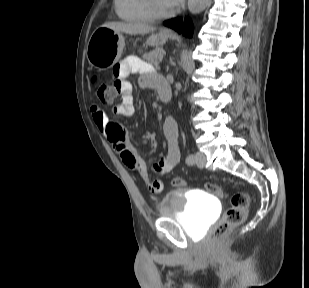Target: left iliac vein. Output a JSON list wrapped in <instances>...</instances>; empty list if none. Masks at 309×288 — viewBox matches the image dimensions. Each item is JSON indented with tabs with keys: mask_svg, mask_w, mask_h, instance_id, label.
Here are the masks:
<instances>
[{
	"mask_svg": "<svg viewBox=\"0 0 309 288\" xmlns=\"http://www.w3.org/2000/svg\"><path fill=\"white\" fill-rule=\"evenodd\" d=\"M206 157L203 153L197 152L195 154V162L199 168H203L205 165Z\"/></svg>",
	"mask_w": 309,
	"mask_h": 288,
	"instance_id": "4c4485c4",
	"label": "left iliac vein"
}]
</instances>
